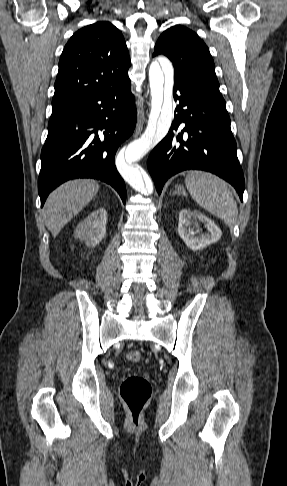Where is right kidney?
I'll return each instance as SVG.
<instances>
[{"label":"right kidney","instance_id":"ca27d5eb","mask_svg":"<svg viewBox=\"0 0 287 486\" xmlns=\"http://www.w3.org/2000/svg\"><path fill=\"white\" fill-rule=\"evenodd\" d=\"M106 221V210L98 208L77 225L74 237L84 241L88 246H96L105 237Z\"/></svg>","mask_w":287,"mask_h":486}]
</instances>
